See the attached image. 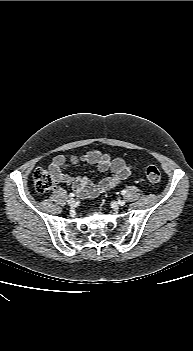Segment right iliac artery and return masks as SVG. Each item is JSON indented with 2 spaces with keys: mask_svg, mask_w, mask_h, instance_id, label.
Wrapping results in <instances>:
<instances>
[{
  "mask_svg": "<svg viewBox=\"0 0 193 351\" xmlns=\"http://www.w3.org/2000/svg\"><path fill=\"white\" fill-rule=\"evenodd\" d=\"M74 196H75L74 193H70V194H69V197H71V198L74 197Z\"/></svg>",
  "mask_w": 193,
  "mask_h": 351,
  "instance_id": "82829eb1",
  "label": "right iliac artery"
}]
</instances>
